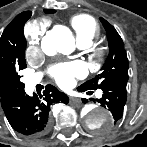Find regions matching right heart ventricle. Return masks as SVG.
<instances>
[{"label": "right heart ventricle", "instance_id": "obj_1", "mask_svg": "<svg viewBox=\"0 0 147 147\" xmlns=\"http://www.w3.org/2000/svg\"><path fill=\"white\" fill-rule=\"evenodd\" d=\"M78 44L89 46L99 34L96 20L86 14L76 15L71 19Z\"/></svg>", "mask_w": 147, "mask_h": 147}]
</instances>
